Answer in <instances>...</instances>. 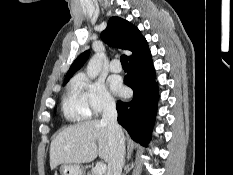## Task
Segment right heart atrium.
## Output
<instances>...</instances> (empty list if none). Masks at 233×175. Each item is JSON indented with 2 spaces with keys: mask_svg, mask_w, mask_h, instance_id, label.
<instances>
[{
  "mask_svg": "<svg viewBox=\"0 0 233 175\" xmlns=\"http://www.w3.org/2000/svg\"><path fill=\"white\" fill-rule=\"evenodd\" d=\"M72 83L88 105L91 114L97 116L115 108L116 100L102 81L80 75Z\"/></svg>",
  "mask_w": 233,
  "mask_h": 175,
  "instance_id": "d8ad5b80",
  "label": "right heart atrium"
}]
</instances>
